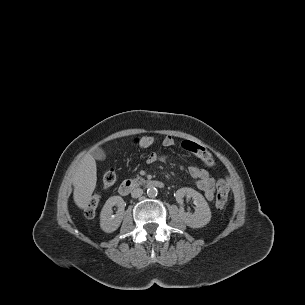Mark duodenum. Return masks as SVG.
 <instances>
[{"label":"duodenum","mask_w":305,"mask_h":305,"mask_svg":"<svg viewBox=\"0 0 305 305\" xmlns=\"http://www.w3.org/2000/svg\"><path fill=\"white\" fill-rule=\"evenodd\" d=\"M149 187H155V188H163L164 183L159 180H152L147 183ZM134 188V184L131 181H123L119 187H118V192L122 196H127L131 193V191Z\"/></svg>","instance_id":"obj_1"}]
</instances>
